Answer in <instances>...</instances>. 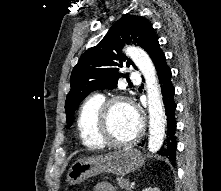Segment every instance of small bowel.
I'll return each mask as SVG.
<instances>
[{
  "label": "small bowel",
  "instance_id": "c3829d8e",
  "mask_svg": "<svg viewBox=\"0 0 221 191\" xmlns=\"http://www.w3.org/2000/svg\"><path fill=\"white\" fill-rule=\"evenodd\" d=\"M95 191H116L115 187L112 185V183L103 181L98 184Z\"/></svg>",
  "mask_w": 221,
  "mask_h": 191
}]
</instances>
